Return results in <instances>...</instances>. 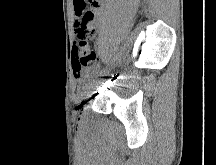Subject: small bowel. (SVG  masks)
Masks as SVG:
<instances>
[{
  "instance_id": "obj_1",
  "label": "small bowel",
  "mask_w": 216,
  "mask_h": 165,
  "mask_svg": "<svg viewBox=\"0 0 216 165\" xmlns=\"http://www.w3.org/2000/svg\"><path fill=\"white\" fill-rule=\"evenodd\" d=\"M75 16V30L83 22L85 13H92V18L87 22L88 29L94 34L103 20L102 0H73Z\"/></svg>"
}]
</instances>
